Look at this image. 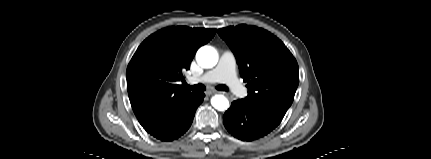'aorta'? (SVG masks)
Instances as JSON below:
<instances>
[{"mask_svg":"<svg viewBox=\"0 0 431 159\" xmlns=\"http://www.w3.org/2000/svg\"><path fill=\"white\" fill-rule=\"evenodd\" d=\"M196 60L201 67L212 68L218 62V53L211 46H203L197 51ZM211 104L218 111H225L229 107V101L224 95L213 96Z\"/></svg>","mask_w":431,"mask_h":159,"instance_id":"1","label":"aorta"}]
</instances>
